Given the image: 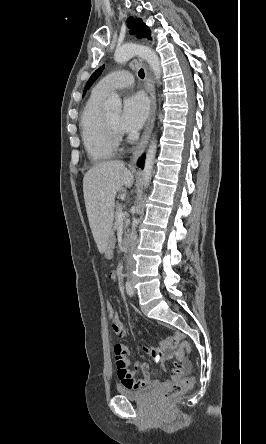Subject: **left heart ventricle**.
Wrapping results in <instances>:
<instances>
[{
  "label": "left heart ventricle",
  "mask_w": 266,
  "mask_h": 444,
  "mask_svg": "<svg viewBox=\"0 0 266 444\" xmlns=\"http://www.w3.org/2000/svg\"><path fill=\"white\" fill-rule=\"evenodd\" d=\"M107 119L109 120V122L118 130H120L119 128V120H120V115L119 114H113V115H107L106 116ZM121 131V130H120Z\"/></svg>",
  "instance_id": "left-heart-ventricle-1"
}]
</instances>
